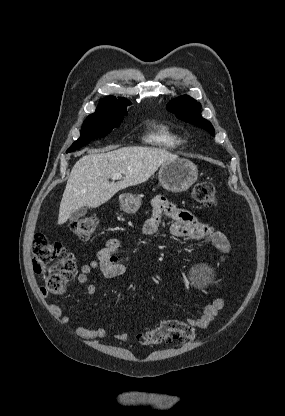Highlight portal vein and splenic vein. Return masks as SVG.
<instances>
[{
    "label": "portal vein and splenic vein",
    "mask_w": 285,
    "mask_h": 416,
    "mask_svg": "<svg viewBox=\"0 0 285 416\" xmlns=\"http://www.w3.org/2000/svg\"><path fill=\"white\" fill-rule=\"evenodd\" d=\"M122 174H113L111 180H121Z\"/></svg>",
    "instance_id": "portal-vein-and-splenic-vein-1"
}]
</instances>
